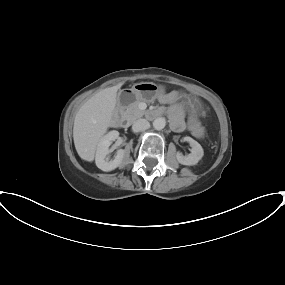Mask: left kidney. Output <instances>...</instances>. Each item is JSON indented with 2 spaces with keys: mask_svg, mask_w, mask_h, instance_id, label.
I'll return each instance as SVG.
<instances>
[{
  "mask_svg": "<svg viewBox=\"0 0 285 285\" xmlns=\"http://www.w3.org/2000/svg\"><path fill=\"white\" fill-rule=\"evenodd\" d=\"M183 140L190 144L192 150L187 156L177 153L176 158L178 162L187 166L196 165L204 155L202 146L191 137H184Z\"/></svg>",
  "mask_w": 285,
  "mask_h": 285,
  "instance_id": "left-kidney-1",
  "label": "left kidney"
}]
</instances>
